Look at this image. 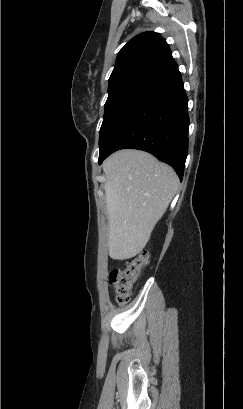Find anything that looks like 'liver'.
<instances>
[{
    "mask_svg": "<svg viewBox=\"0 0 243 409\" xmlns=\"http://www.w3.org/2000/svg\"><path fill=\"white\" fill-rule=\"evenodd\" d=\"M108 220V251L114 260L136 256L173 199L179 179L174 170L139 150H121L103 165Z\"/></svg>",
    "mask_w": 243,
    "mask_h": 409,
    "instance_id": "liver-1",
    "label": "liver"
}]
</instances>
